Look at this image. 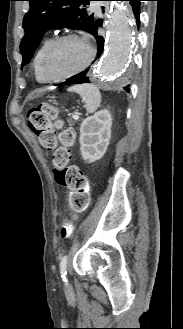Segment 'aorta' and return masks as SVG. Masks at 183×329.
Listing matches in <instances>:
<instances>
[{
  "label": "aorta",
  "instance_id": "aorta-1",
  "mask_svg": "<svg viewBox=\"0 0 183 329\" xmlns=\"http://www.w3.org/2000/svg\"><path fill=\"white\" fill-rule=\"evenodd\" d=\"M107 50L96 74L104 83L116 84L124 78V72L133 43V18L124 3H116L107 26Z\"/></svg>",
  "mask_w": 183,
  "mask_h": 329
}]
</instances>
